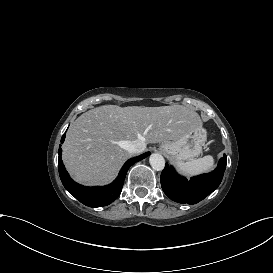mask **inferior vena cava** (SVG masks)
<instances>
[{
	"instance_id": "obj_1",
	"label": "inferior vena cava",
	"mask_w": 273,
	"mask_h": 273,
	"mask_svg": "<svg viewBox=\"0 0 273 273\" xmlns=\"http://www.w3.org/2000/svg\"><path fill=\"white\" fill-rule=\"evenodd\" d=\"M145 148H146V144L141 140H134V141L127 142L125 147V149L129 153H140L144 151Z\"/></svg>"
}]
</instances>
